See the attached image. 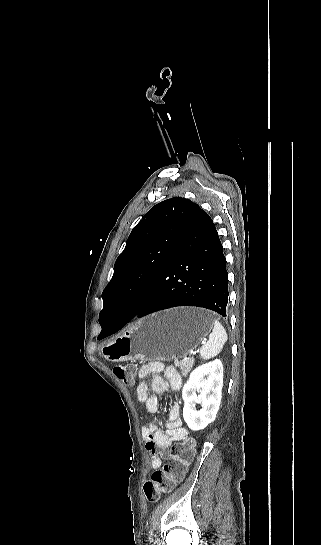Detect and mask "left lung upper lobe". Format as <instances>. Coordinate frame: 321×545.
<instances>
[{"instance_id":"left-lung-upper-lobe-1","label":"left lung upper lobe","mask_w":321,"mask_h":545,"mask_svg":"<svg viewBox=\"0 0 321 545\" xmlns=\"http://www.w3.org/2000/svg\"><path fill=\"white\" fill-rule=\"evenodd\" d=\"M196 206L181 197L165 200L151 208L134 227L102 293L101 334L106 332L103 325L113 310L133 312L147 298Z\"/></svg>"}]
</instances>
